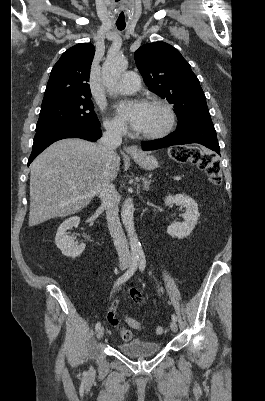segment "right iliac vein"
<instances>
[{
	"mask_svg": "<svg viewBox=\"0 0 265 401\" xmlns=\"http://www.w3.org/2000/svg\"><path fill=\"white\" fill-rule=\"evenodd\" d=\"M126 268H128V264L127 263H121L120 264V269L121 270H125ZM103 335H104V328L100 327L97 330L96 337H97V339H101L103 337Z\"/></svg>",
	"mask_w": 265,
	"mask_h": 401,
	"instance_id": "obj_1",
	"label": "right iliac vein"
}]
</instances>
